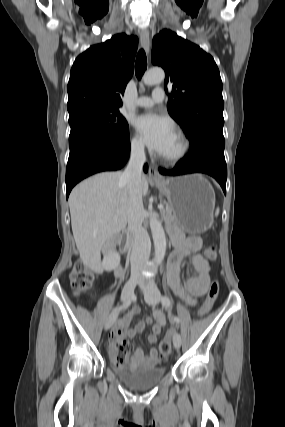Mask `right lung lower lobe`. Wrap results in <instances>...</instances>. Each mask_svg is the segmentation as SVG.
I'll return each instance as SVG.
<instances>
[{"instance_id": "obj_1", "label": "right lung lower lobe", "mask_w": 285, "mask_h": 427, "mask_svg": "<svg viewBox=\"0 0 285 427\" xmlns=\"http://www.w3.org/2000/svg\"><path fill=\"white\" fill-rule=\"evenodd\" d=\"M130 141H112L101 135H86L72 146L66 168V197L82 179L102 171L121 169L129 159ZM147 165L144 171L147 172Z\"/></svg>"}]
</instances>
